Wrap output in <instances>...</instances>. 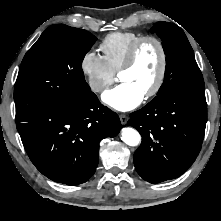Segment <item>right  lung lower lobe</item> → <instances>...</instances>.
I'll return each instance as SVG.
<instances>
[{
    "instance_id": "right-lung-lower-lobe-1",
    "label": "right lung lower lobe",
    "mask_w": 221,
    "mask_h": 221,
    "mask_svg": "<svg viewBox=\"0 0 221 221\" xmlns=\"http://www.w3.org/2000/svg\"><path fill=\"white\" fill-rule=\"evenodd\" d=\"M16 124L36 168L67 185L88 181L98 165L100 141L121 129L118 115L93 92L66 106L36 111Z\"/></svg>"
}]
</instances>
